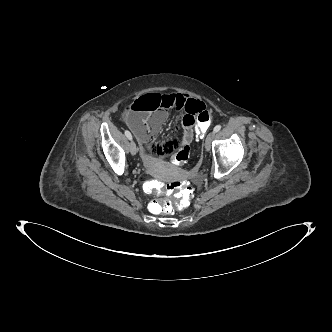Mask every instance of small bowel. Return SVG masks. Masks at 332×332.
<instances>
[{
	"instance_id": "small-bowel-1",
	"label": "small bowel",
	"mask_w": 332,
	"mask_h": 332,
	"mask_svg": "<svg viewBox=\"0 0 332 332\" xmlns=\"http://www.w3.org/2000/svg\"><path fill=\"white\" fill-rule=\"evenodd\" d=\"M170 110L182 113L181 122L184 131L181 138L179 141L166 142L163 149L157 152L146 149L145 147L149 146L162 130ZM204 110H206L205 104L202 101L188 95L181 93L164 95L159 91H147L138 95L127 112L125 121L143 147L141 155L144 161L151 164L159 158L170 160L174 152L179 151L184 145L191 144L197 116Z\"/></svg>"
}]
</instances>
